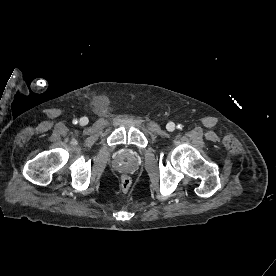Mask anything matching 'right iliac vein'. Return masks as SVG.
<instances>
[{"mask_svg": "<svg viewBox=\"0 0 276 276\" xmlns=\"http://www.w3.org/2000/svg\"><path fill=\"white\" fill-rule=\"evenodd\" d=\"M79 123L80 125L82 126H85L88 124V119L86 117H82L80 120H79Z\"/></svg>", "mask_w": 276, "mask_h": 276, "instance_id": "right-iliac-vein-1", "label": "right iliac vein"}]
</instances>
